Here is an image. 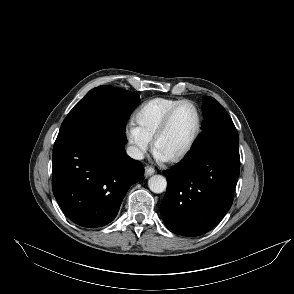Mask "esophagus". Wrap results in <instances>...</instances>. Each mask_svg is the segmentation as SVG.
<instances>
[{
  "mask_svg": "<svg viewBox=\"0 0 294 294\" xmlns=\"http://www.w3.org/2000/svg\"><path fill=\"white\" fill-rule=\"evenodd\" d=\"M154 173H156V170L153 167H151V166L145 167V177H149V176L153 175Z\"/></svg>",
  "mask_w": 294,
  "mask_h": 294,
  "instance_id": "obj_1",
  "label": "esophagus"
}]
</instances>
